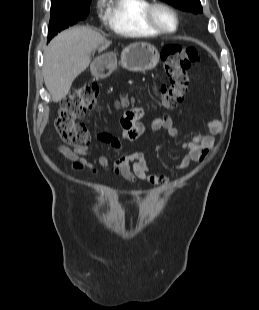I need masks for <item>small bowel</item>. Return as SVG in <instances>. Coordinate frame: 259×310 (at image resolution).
Here are the masks:
<instances>
[{
	"label": "small bowel",
	"instance_id": "c3829d8e",
	"mask_svg": "<svg viewBox=\"0 0 259 310\" xmlns=\"http://www.w3.org/2000/svg\"><path fill=\"white\" fill-rule=\"evenodd\" d=\"M179 112L181 113V111ZM141 114V108L126 112L120 119L121 130L119 133L101 132L96 135V140L110 146L119 154V158L114 163V174L116 176L122 177L131 184L137 181H144L151 185L166 184L170 181V177L150 173L142 153L128 154L124 152V143L137 140L145 131L143 124L139 122ZM205 126L214 135L222 131V124L217 120L208 121ZM150 127L156 133L165 131L171 138L178 133L172 119L166 114L154 118ZM214 145L215 138L213 135L199 134L194 136L181 145L185 154L177 163L171 165L172 168L184 170L192 162L204 160ZM55 157L59 161L63 158L71 161L70 169L73 171H85L93 175L99 174L110 163V158L107 155L98 158L92 156L88 147L70 149L66 146H59Z\"/></svg>",
	"mask_w": 259,
	"mask_h": 310
}]
</instances>
